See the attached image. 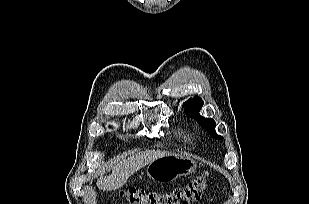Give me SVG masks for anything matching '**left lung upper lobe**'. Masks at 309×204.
Segmentation results:
<instances>
[{"label": "left lung upper lobe", "mask_w": 309, "mask_h": 204, "mask_svg": "<svg viewBox=\"0 0 309 204\" xmlns=\"http://www.w3.org/2000/svg\"><path fill=\"white\" fill-rule=\"evenodd\" d=\"M203 106V101L200 97L194 96L191 100L185 102V113L194 118L202 128L206 129L213 138L222 139V136L215 132V122L211 118H204L199 115V111Z\"/></svg>", "instance_id": "left-lung-upper-lobe-1"}]
</instances>
